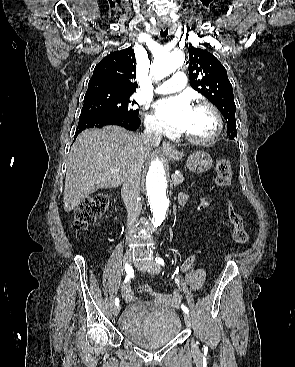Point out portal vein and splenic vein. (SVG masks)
Instances as JSON below:
<instances>
[{"mask_svg":"<svg viewBox=\"0 0 295 367\" xmlns=\"http://www.w3.org/2000/svg\"><path fill=\"white\" fill-rule=\"evenodd\" d=\"M112 172H113V173H118V172H119V170H113ZM171 177H174V175H172Z\"/></svg>","mask_w":295,"mask_h":367,"instance_id":"obj_1","label":"portal vein and splenic vein"}]
</instances>
